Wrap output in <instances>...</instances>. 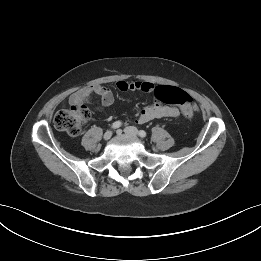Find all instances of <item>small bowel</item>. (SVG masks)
Listing matches in <instances>:
<instances>
[{"instance_id":"small-bowel-1","label":"small bowel","mask_w":261,"mask_h":261,"mask_svg":"<svg viewBox=\"0 0 261 261\" xmlns=\"http://www.w3.org/2000/svg\"><path fill=\"white\" fill-rule=\"evenodd\" d=\"M117 89L120 91H142L146 93H152L155 91L154 84L144 81H119L116 84ZM93 95L100 98L102 107L106 108L112 105L114 101L113 93L110 89L101 84L86 86L78 91L74 92L69 97V103L71 105H79L87 102L91 99ZM195 109V105H194ZM180 115V110L177 107L165 106L156 102L151 105H147L142 108L139 116L136 120L138 124H144L154 119L159 118H175Z\"/></svg>"}]
</instances>
